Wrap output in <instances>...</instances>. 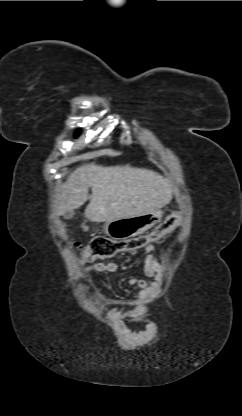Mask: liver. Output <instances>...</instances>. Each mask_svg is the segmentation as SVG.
<instances>
[{
    "label": "liver",
    "instance_id": "1",
    "mask_svg": "<svg viewBox=\"0 0 242 416\" xmlns=\"http://www.w3.org/2000/svg\"><path fill=\"white\" fill-rule=\"evenodd\" d=\"M92 195L85 217L92 222H107L159 210L173 196L170 181L144 168L83 165L70 174L57 198V213L81 207Z\"/></svg>",
    "mask_w": 242,
    "mask_h": 416
}]
</instances>
